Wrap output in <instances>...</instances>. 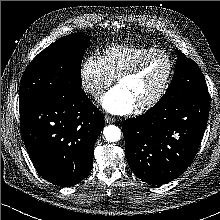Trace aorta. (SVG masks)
I'll list each match as a JSON object with an SVG mask.
<instances>
[{"instance_id":"762f6f07","label":"aorta","mask_w":220,"mask_h":220,"mask_svg":"<svg viewBox=\"0 0 220 220\" xmlns=\"http://www.w3.org/2000/svg\"><path fill=\"white\" fill-rule=\"evenodd\" d=\"M103 134L108 142H117L121 138V130L115 125L106 126Z\"/></svg>"}]
</instances>
